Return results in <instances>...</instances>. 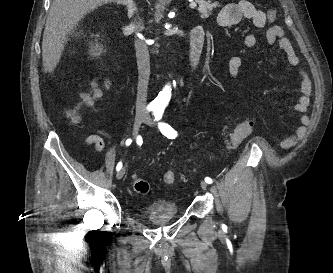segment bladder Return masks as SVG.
<instances>
[{"instance_id":"bladder-1","label":"bladder","mask_w":333,"mask_h":273,"mask_svg":"<svg viewBox=\"0 0 333 273\" xmlns=\"http://www.w3.org/2000/svg\"><path fill=\"white\" fill-rule=\"evenodd\" d=\"M179 216V210L172 201H157L147 205L137 217L153 225H165Z\"/></svg>"}]
</instances>
